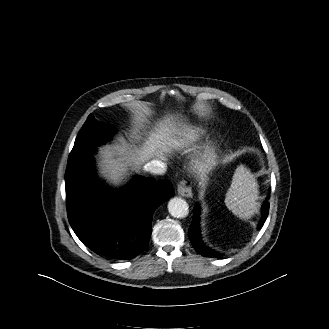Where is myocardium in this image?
Segmentation results:
<instances>
[{"label":"myocardium","instance_id":"f54148a6","mask_svg":"<svg viewBox=\"0 0 329 329\" xmlns=\"http://www.w3.org/2000/svg\"><path fill=\"white\" fill-rule=\"evenodd\" d=\"M218 159V147L216 143H209L204 146L195 156L192 162L193 170L203 174L212 170Z\"/></svg>","mask_w":329,"mask_h":329}]
</instances>
